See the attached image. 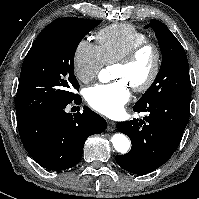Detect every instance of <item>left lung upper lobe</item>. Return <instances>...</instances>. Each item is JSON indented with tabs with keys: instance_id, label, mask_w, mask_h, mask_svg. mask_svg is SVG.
Returning a JSON list of instances; mask_svg holds the SVG:
<instances>
[{
	"instance_id": "obj_1",
	"label": "left lung upper lobe",
	"mask_w": 199,
	"mask_h": 199,
	"mask_svg": "<svg viewBox=\"0 0 199 199\" xmlns=\"http://www.w3.org/2000/svg\"><path fill=\"white\" fill-rule=\"evenodd\" d=\"M155 31L162 64L154 83L134 105L147 108L169 99L191 100V82L186 53L180 42L162 22L152 19L145 28Z\"/></svg>"
}]
</instances>
